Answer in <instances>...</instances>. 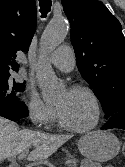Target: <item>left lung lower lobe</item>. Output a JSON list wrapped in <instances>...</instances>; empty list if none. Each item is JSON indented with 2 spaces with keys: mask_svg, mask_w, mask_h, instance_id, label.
<instances>
[{
  "mask_svg": "<svg viewBox=\"0 0 125 167\" xmlns=\"http://www.w3.org/2000/svg\"><path fill=\"white\" fill-rule=\"evenodd\" d=\"M119 128L125 130V111L117 112L107 119V123L101 129Z\"/></svg>",
  "mask_w": 125,
  "mask_h": 167,
  "instance_id": "1",
  "label": "left lung lower lobe"
}]
</instances>
